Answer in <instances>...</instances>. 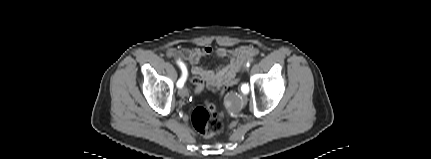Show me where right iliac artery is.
Segmentation results:
<instances>
[{
    "mask_svg": "<svg viewBox=\"0 0 431 159\" xmlns=\"http://www.w3.org/2000/svg\"><path fill=\"white\" fill-rule=\"evenodd\" d=\"M177 63H178V65L180 66V68L182 70V76H181V78L177 82V87L181 88L184 85L185 81H186L187 71H186L184 65L181 62H177Z\"/></svg>",
    "mask_w": 431,
    "mask_h": 159,
    "instance_id": "right-iliac-artery-1",
    "label": "right iliac artery"
}]
</instances>
